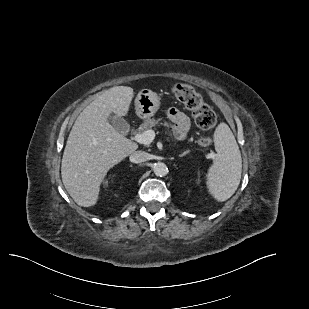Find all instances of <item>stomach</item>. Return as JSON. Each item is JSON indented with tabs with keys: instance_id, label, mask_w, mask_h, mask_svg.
<instances>
[{
	"instance_id": "stomach-1",
	"label": "stomach",
	"mask_w": 309,
	"mask_h": 309,
	"mask_svg": "<svg viewBox=\"0 0 309 309\" xmlns=\"http://www.w3.org/2000/svg\"><path fill=\"white\" fill-rule=\"evenodd\" d=\"M159 107L160 98L155 92L149 89L139 91L135 99V109L140 118L148 119L152 117Z\"/></svg>"
}]
</instances>
